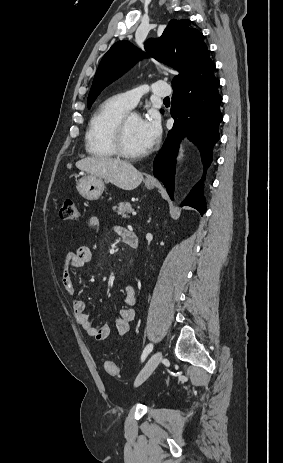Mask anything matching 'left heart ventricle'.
I'll return each instance as SVG.
<instances>
[{
  "label": "left heart ventricle",
  "instance_id": "1",
  "mask_svg": "<svg viewBox=\"0 0 283 463\" xmlns=\"http://www.w3.org/2000/svg\"><path fill=\"white\" fill-rule=\"evenodd\" d=\"M124 143L126 149L132 153L147 151L141 134L140 119L135 115H130L127 120Z\"/></svg>",
  "mask_w": 283,
  "mask_h": 463
}]
</instances>
